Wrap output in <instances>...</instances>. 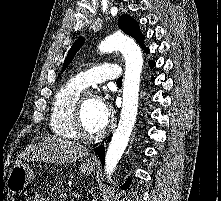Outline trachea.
Returning <instances> with one entry per match:
<instances>
[{"mask_svg": "<svg viewBox=\"0 0 221 201\" xmlns=\"http://www.w3.org/2000/svg\"><path fill=\"white\" fill-rule=\"evenodd\" d=\"M117 84H122V77L117 80Z\"/></svg>", "mask_w": 221, "mask_h": 201, "instance_id": "3493384b", "label": "trachea"}]
</instances>
